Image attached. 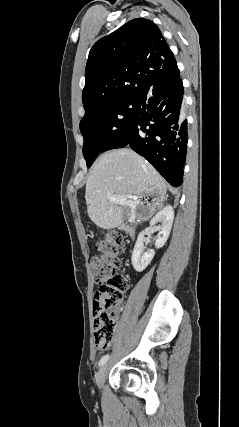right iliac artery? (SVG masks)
<instances>
[{"mask_svg":"<svg viewBox=\"0 0 239 427\" xmlns=\"http://www.w3.org/2000/svg\"><path fill=\"white\" fill-rule=\"evenodd\" d=\"M108 359H109V355L103 356L99 362V366H103L107 362Z\"/></svg>","mask_w":239,"mask_h":427,"instance_id":"right-iliac-artery-1","label":"right iliac artery"}]
</instances>
